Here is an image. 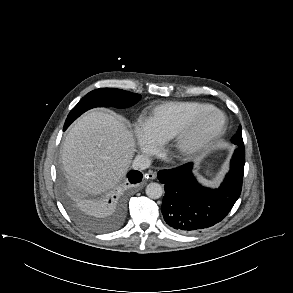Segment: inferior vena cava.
Wrapping results in <instances>:
<instances>
[{
  "label": "inferior vena cava",
  "instance_id": "obj_1",
  "mask_svg": "<svg viewBox=\"0 0 293 293\" xmlns=\"http://www.w3.org/2000/svg\"><path fill=\"white\" fill-rule=\"evenodd\" d=\"M150 164L151 161L146 155H137L132 162V167L135 170H145Z\"/></svg>",
  "mask_w": 293,
  "mask_h": 293
}]
</instances>
